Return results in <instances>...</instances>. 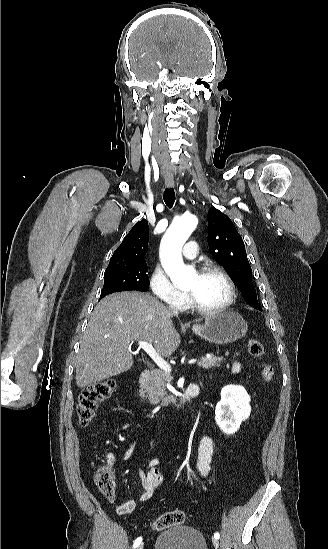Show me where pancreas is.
I'll return each mask as SVG.
<instances>
[{
    "label": "pancreas",
    "mask_w": 328,
    "mask_h": 549,
    "mask_svg": "<svg viewBox=\"0 0 328 549\" xmlns=\"http://www.w3.org/2000/svg\"><path fill=\"white\" fill-rule=\"evenodd\" d=\"M229 355V353H226ZM224 361L223 357H201L198 367L202 369H213V367H220L218 363ZM173 377L167 371H161V369H155L150 375L149 381L146 383L145 393L150 403H162V405H169L172 401V397H166V385L171 383Z\"/></svg>",
    "instance_id": "1"
}]
</instances>
